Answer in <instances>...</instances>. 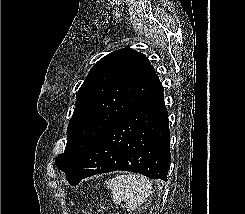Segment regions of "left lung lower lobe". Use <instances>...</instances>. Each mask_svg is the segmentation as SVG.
Masks as SVG:
<instances>
[{
	"instance_id": "0a47b994",
	"label": "left lung lower lobe",
	"mask_w": 245,
	"mask_h": 214,
	"mask_svg": "<svg viewBox=\"0 0 245 214\" xmlns=\"http://www.w3.org/2000/svg\"><path fill=\"white\" fill-rule=\"evenodd\" d=\"M170 130L162 85L113 122L66 175L71 185L111 171L167 181Z\"/></svg>"
}]
</instances>
